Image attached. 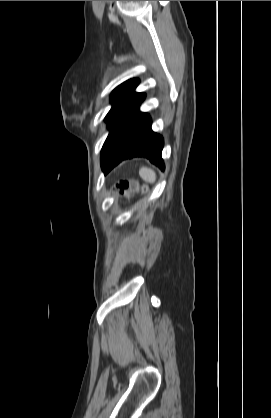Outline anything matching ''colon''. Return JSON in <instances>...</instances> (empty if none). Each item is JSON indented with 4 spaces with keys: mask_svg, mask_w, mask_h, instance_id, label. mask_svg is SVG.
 <instances>
[{
    "mask_svg": "<svg viewBox=\"0 0 271 418\" xmlns=\"http://www.w3.org/2000/svg\"><path fill=\"white\" fill-rule=\"evenodd\" d=\"M139 189H140V187L137 183L122 182L117 186L116 191L119 194H124V193H127L129 191H136V190H139Z\"/></svg>",
    "mask_w": 271,
    "mask_h": 418,
    "instance_id": "5ec220e1",
    "label": "colon"
}]
</instances>
